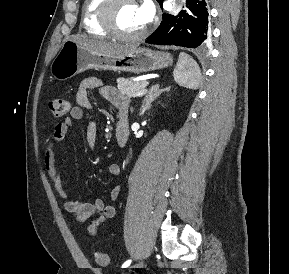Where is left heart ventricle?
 <instances>
[{"label": "left heart ventricle", "instance_id": "1", "mask_svg": "<svg viewBox=\"0 0 289 274\" xmlns=\"http://www.w3.org/2000/svg\"><path fill=\"white\" fill-rule=\"evenodd\" d=\"M115 24L119 31L127 34L139 32L146 25L138 4L123 3L115 14Z\"/></svg>", "mask_w": 289, "mask_h": 274}]
</instances>
